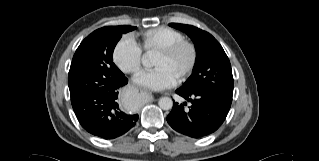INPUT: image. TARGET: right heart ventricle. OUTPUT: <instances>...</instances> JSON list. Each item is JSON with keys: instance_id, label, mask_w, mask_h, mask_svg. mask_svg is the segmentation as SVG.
<instances>
[{"instance_id": "1", "label": "right heart ventricle", "mask_w": 319, "mask_h": 161, "mask_svg": "<svg viewBox=\"0 0 319 161\" xmlns=\"http://www.w3.org/2000/svg\"><path fill=\"white\" fill-rule=\"evenodd\" d=\"M183 38L184 35L178 30L168 26H159L144 32L142 46L146 50L147 54H150L156 52L164 45Z\"/></svg>"}]
</instances>
